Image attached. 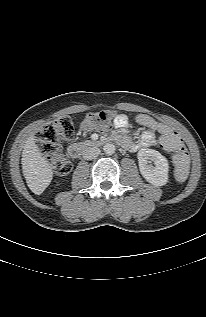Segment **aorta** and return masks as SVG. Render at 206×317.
<instances>
[{"instance_id":"aorta-1","label":"aorta","mask_w":206,"mask_h":317,"mask_svg":"<svg viewBox=\"0 0 206 317\" xmlns=\"http://www.w3.org/2000/svg\"><path fill=\"white\" fill-rule=\"evenodd\" d=\"M116 147L112 143H107L103 146V151L105 154L112 155L115 153Z\"/></svg>"}]
</instances>
